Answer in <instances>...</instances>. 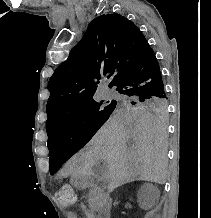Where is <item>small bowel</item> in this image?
Instances as JSON below:
<instances>
[{
	"mask_svg": "<svg viewBox=\"0 0 211 218\" xmlns=\"http://www.w3.org/2000/svg\"><path fill=\"white\" fill-rule=\"evenodd\" d=\"M84 210H85V208L84 207H82ZM87 215H89L88 213H87Z\"/></svg>",
	"mask_w": 211,
	"mask_h": 218,
	"instance_id": "small-bowel-1",
	"label": "small bowel"
}]
</instances>
